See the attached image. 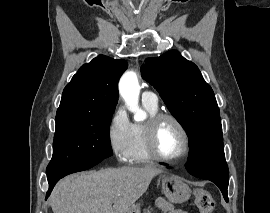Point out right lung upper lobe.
Segmentation results:
<instances>
[{
	"mask_svg": "<svg viewBox=\"0 0 270 213\" xmlns=\"http://www.w3.org/2000/svg\"><path fill=\"white\" fill-rule=\"evenodd\" d=\"M125 60L99 55L80 67L64 88L57 115L113 113L118 101V80Z\"/></svg>",
	"mask_w": 270,
	"mask_h": 213,
	"instance_id": "right-lung-upper-lobe-1",
	"label": "right lung upper lobe"
}]
</instances>
